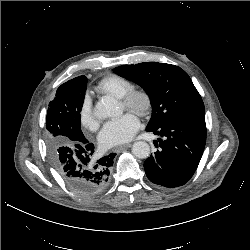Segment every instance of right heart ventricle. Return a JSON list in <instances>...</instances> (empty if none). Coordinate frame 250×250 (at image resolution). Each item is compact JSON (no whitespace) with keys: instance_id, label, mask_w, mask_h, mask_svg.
<instances>
[{"instance_id":"1","label":"right heart ventricle","mask_w":250,"mask_h":250,"mask_svg":"<svg viewBox=\"0 0 250 250\" xmlns=\"http://www.w3.org/2000/svg\"><path fill=\"white\" fill-rule=\"evenodd\" d=\"M134 88L133 82L118 74H111L103 78L95 87L101 94L110 95L115 98H122Z\"/></svg>"}]
</instances>
